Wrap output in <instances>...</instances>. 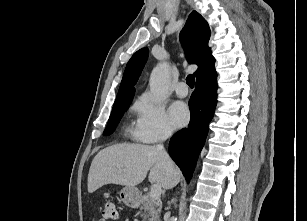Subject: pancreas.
Listing matches in <instances>:
<instances>
[{
  "label": "pancreas",
  "instance_id": "obj_1",
  "mask_svg": "<svg viewBox=\"0 0 307 221\" xmlns=\"http://www.w3.org/2000/svg\"><path fill=\"white\" fill-rule=\"evenodd\" d=\"M162 202L151 198L150 194L143 196L140 207L143 221H160Z\"/></svg>",
  "mask_w": 307,
  "mask_h": 221
}]
</instances>
